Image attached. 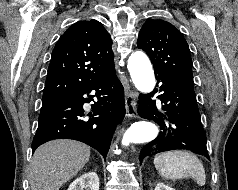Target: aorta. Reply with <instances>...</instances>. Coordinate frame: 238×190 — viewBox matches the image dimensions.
<instances>
[{"instance_id":"762f6f07","label":"aorta","mask_w":238,"mask_h":190,"mask_svg":"<svg viewBox=\"0 0 238 190\" xmlns=\"http://www.w3.org/2000/svg\"><path fill=\"white\" fill-rule=\"evenodd\" d=\"M128 70L132 81L140 92L150 93L155 85L154 72L148 57L143 52L132 53L128 59ZM158 135L157 126L147 120L133 123L122 138V145L129 146L132 143H148Z\"/></svg>"}]
</instances>
